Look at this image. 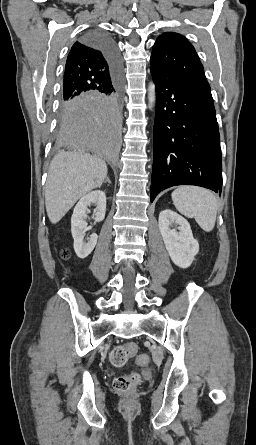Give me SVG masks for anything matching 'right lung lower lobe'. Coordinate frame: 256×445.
I'll return each instance as SVG.
<instances>
[{"label":"right lung lower lobe","instance_id":"1","mask_svg":"<svg viewBox=\"0 0 256 445\" xmlns=\"http://www.w3.org/2000/svg\"><path fill=\"white\" fill-rule=\"evenodd\" d=\"M83 40L105 55L113 73L110 87L74 99H61L59 141L110 163L117 161L121 134L120 59L112 38L92 29Z\"/></svg>","mask_w":256,"mask_h":445}]
</instances>
